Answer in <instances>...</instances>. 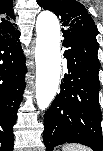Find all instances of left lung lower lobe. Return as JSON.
Here are the masks:
<instances>
[{
	"label": "left lung lower lobe",
	"mask_w": 103,
	"mask_h": 151,
	"mask_svg": "<svg viewBox=\"0 0 103 151\" xmlns=\"http://www.w3.org/2000/svg\"><path fill=\"white\" fill-rule=\"evenodd\" d=\"M68 74L45 113L43 140L47 151L64 143H81L102 151L99 106V60L96 37L65 31Z\"/></svg>",
	"instance_id": "1"
}]
</instances>
